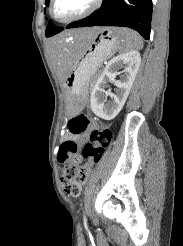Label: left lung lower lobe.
<instances>
[{"label": "left lung lower lobe", "instance_id": "0a47b994", "mask_svg": "<svg viewBox=\"0 0 183 246\" xmlns=\"http://www.w3.org/2000/svg\"><path fill=\"white\" fill-rule=\"evenodd\" d=\"M152 11V0H103L96 12L82 20L70 23L67 29L86 26L129 27L148 40Z\"/></svg>", "mask_w": 183, "mask_h": 246}]
</instances>
